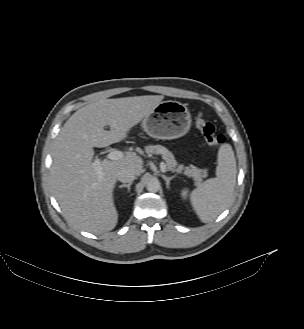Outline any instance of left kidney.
<instances>
[{"mask_svg":"<svg viewBox=\"0 0 304 329\" xmlns=\"http://www.w3.org/2000/svg\"><path fill=\"white\" fill-rule=\"evenodd\" d=\"M181 194H182L183 197H185L186 194H187V190H183Z\"/></svg>","mask_w":304,"mask_h":329,"instance_id":"obj_1","label":"left kidney"}]
</instances>
